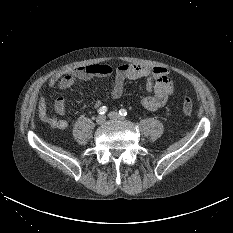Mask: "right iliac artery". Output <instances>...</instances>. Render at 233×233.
<instances>
[{
	"label": "right iliac artery",
	"mask_w": 233,
	"mask_h": 233,
	"mask_svg": "<svg viewBox=\"0 0 233 233\" xmlns=\"http://www.w3.org/2000/svg\"><path fill=\"white\" fill-rule=\"evenodd\" d=\"M106 112H107V107H106V106H103V107L99 108V110H98V113H99L100 115H103V114H105Z\"/></svg>",
	"instance_id": "1"
}]
</instances>
